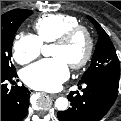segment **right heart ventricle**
Instances as JSON below:
<instances>
[{
    "label": "right heart ventricle",
    "instance_id": "obj_1",
    "mask_svg": "<svg viewBox=\"0 0 121 121\" xmlns=\"http://www.w3.org/2000/svg\"><path fill=\"white\" fill-rule=\"evenodd\" d=\"M80 21L67 14H47L38 18L33 27L36 36L43 43H52L68 29L80 25Z\"/></svg>",
    "mask_w": 121,
    "mask_h": 121
}]
</instances>
